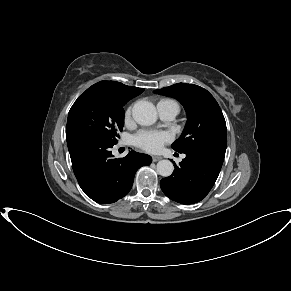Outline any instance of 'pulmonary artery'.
<instances>
[{"label": "pulmonary artery", "instance_id": "e3ab8cb5", "mask_svg": "<svg viewBox=\"0 0 291 291\" xmlns=\"http://www.w3.org/2000/svg\"><path fill=\"white\" fill-rule=\"evenodd\" d=\"M160 117L165 121H172L178 114L177 106L172 102H163L157 105Z\"/></svg>", "mask_w": 291, "mask_h": 291}]
</instances>
